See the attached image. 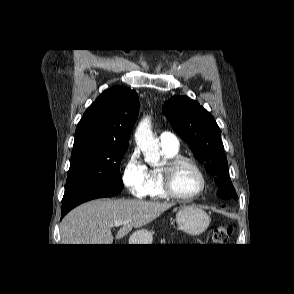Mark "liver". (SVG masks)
<instances>
[{"mask_svg": "<svg viewBox=\"0 0 294 294\" xmlns=\"http://www.w3.org/2000/svg\"><path fill=\"white\" fill-rule=\"evenodd\" d=\"M173 206V203L138 199H98L69 212L60 224L62 244H112L111 229L123 222L116 239L126 236L132 228L142 227Z\"/></svg>", "mask_w": 294, "mask_h": 294, "instance_id": "1", "label": "liver"}]
</instances>
